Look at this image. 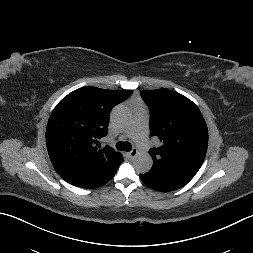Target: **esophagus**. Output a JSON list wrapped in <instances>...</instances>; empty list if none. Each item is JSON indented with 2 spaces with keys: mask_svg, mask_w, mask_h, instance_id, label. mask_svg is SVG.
<instances>
[{
  "mask_svg": "<svg viewBox=\"0 0 253 253\" xmlns=\"http://www.w3.org/2000/svg\"><path fill=\"white\" fill-rule=\"evenodd\" d=\"M138 154V150L136 148H133L129 153L128 155L133 158L135 157L136 155Z\"/></svg>",
  "mask_w": 253,
  "mask_h": 253,
  "instance_id": "obj_1",
  "label": "esophagus"
}]
</instances>
